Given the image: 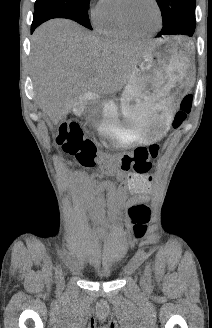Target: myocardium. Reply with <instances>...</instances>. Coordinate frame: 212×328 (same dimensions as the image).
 <instances>
[{"instance_id":"myocardium-1","label":"myocardium","mask_w":212,"mask_h":328,"mask_svg":"<svg viewBox=\"0 0 212 328\" xmlns=\"http://www.w3.org/2000/svg\"><path fill=\"white\" fill-rule=\"evenodd\" d=\"M131 2H132V0H121V7H120L122 19H123L125 25L131 31H133L134 33H136L138 35H146V34L156 32L161 28L162 23H163V13H162V9L160 7V4H159L158 0H151V2L154 4V6L157 10L158 16H159L158 26L155 29L151 30V31H143V30L139 29L133 23V21L130 17V13H129V5H130Z\"/></svg>"}]
</instances>
